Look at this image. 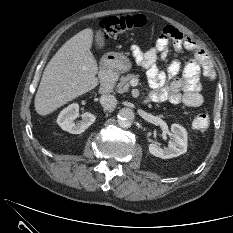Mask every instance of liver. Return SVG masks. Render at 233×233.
Instances as JSON below:
<instances>
[{
    "label": "liver",
    "instance_id": "1",
    "mask_svg": "<svg viewBox=\"0 0 233 233\" xmlns=\"http://www.w3.org/2000/svg\"><path fill=\"white\" fill-rule=\"evenodd\" d=\"M93 30L84 29L65 42L47 64L36 96L35 110L48 115L94 89L98 67L91 53Z\"/></svg>",
    "mask_w": 233,
    "mask_h": 233
}]
</instances>
